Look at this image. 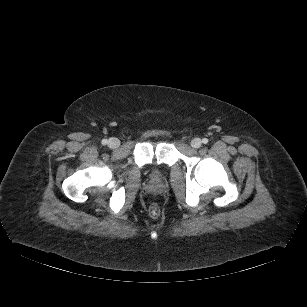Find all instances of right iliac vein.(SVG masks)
<instances>
[{
    "instance_id": "right-iliac-vein-1",
    "label": "right iliac vein",
    "mask_w": 307,
    "mask_h": 307,
    "mask_svg": "<svg viewBox=\"0 0 307 307\" xmlns=\"http://www.w3.org/2000/svg\"><path fill=\"white\" fill-rule=\"evenodd\" d=\"M108 146L112 149L118 148L120 146V140L118 138H110Z\"/></svg>"
}]
</instances>
